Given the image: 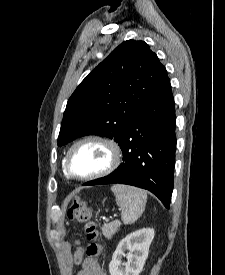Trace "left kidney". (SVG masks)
<instances>
[{
  "label": "left kidney",
  "mask_w": 225,
  "mask_h": 275,
  "mask_svg": "<svg viewBox=\"0 0 225 275\" xmlns=\"http://www.w3.org/2000/svg\"><path fill=\"white\" fill-rule=\"evenodd\" d=\"M154 234L153 229L143 228L121 240L109 264L110 275H139L148 257ZM126 250L129 251L128 254L124 253ZM123 256L127 258L126 263L121 261Z\"/></svg>",
  "instance_id": "1"
}]
</instances>
